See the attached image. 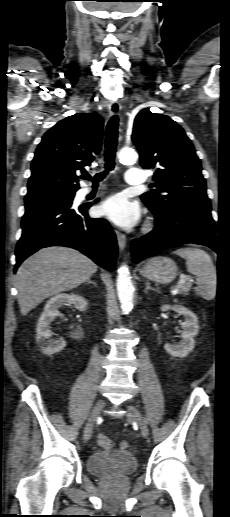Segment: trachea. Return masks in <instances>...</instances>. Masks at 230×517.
<instances>
[{
    "mask_svg": "<svg viewBox=\"0 0 230 517\" xmlns=\"http://www.w3.org/2000/svg\"><path fill=\"white\" fill-rule=\"evenodd\" d=\"M118 124L119 119L117 115H114L109 120L106 133H105V170L101 173L96 174L94 177H91L88 173H84L82 175L83 179L90 180L94 185H98L100 181H102L109 171L114 169L115 166V154L117 147V138H118Z\"/></svg>",
    "mask_w": 230,
    "mask_h": 517,
    "instance_id": "1",
    "label": "trachea"
}]
</instances>
